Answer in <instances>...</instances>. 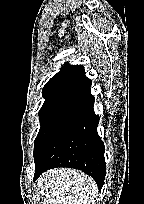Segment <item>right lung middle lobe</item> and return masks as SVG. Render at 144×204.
Segmentation results:
<instances>
[{"label": "right lung middle lobe", "instance_id": "obj_1", "mask_svg": "<svg viewBox=\"0 0 144 204\" xmlns=\"http://www.w3.org/2000/svg\"><path fill=\"white\" fill-rule=\"evenodd\" d=\"M75 98L58 97L45 101L39 111L41 127L34 142V159L39 155L54 129Z\"/></svg>", "mask_w": 144, "mask_h": 204}]
</instances>
